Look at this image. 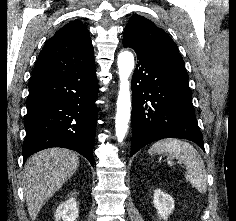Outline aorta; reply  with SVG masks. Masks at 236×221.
<instances>
[{
	"label": "aorta",
	"mask_w": 236,
	"mask_h": 221,
	"mask_svg": "<svg viewBox=\"0 0 236 221\" xmlns=\"http://www.w3.org/2000/svg\"><path fill=\"white\" fill-rule=\"evenodd\" d=\"M118 74L120 79L115 117V132L119 143L123 142L131 115V95L129 77L134 69V56L130 51L118 55Z\"/></svg>",
	"instance_id": "1"
}]
</instances>
